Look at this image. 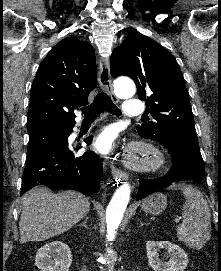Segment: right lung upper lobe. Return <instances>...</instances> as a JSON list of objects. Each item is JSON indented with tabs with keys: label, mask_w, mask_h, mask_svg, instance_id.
<instances>
[{
	"label": "right lung upper lobe",
	"mask_w": 221,
	"mask_h": 271,
	"mask_svg": "<svg viewBox=\"0 0 221 271\" xmlns=\"http://www.w3.org/2000/svg\"><path fill=\"white\" fill-rule=\"evenodd\" d=\"M96 75L92 45L75 37L61 40L42 61L32 83L27 131L73 127L74 109L88 103Z\"/></svg>",
	"instance_id": "right-lung-upper-lobe-1"
}]
</instances>
